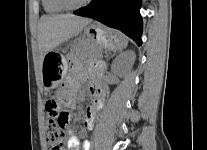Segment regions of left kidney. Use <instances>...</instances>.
Wrapping results in <instances>:
<instances>
[{
	"mask_svg": "<svg viewBox=\"0 0 207 150\" xmlns=\"http://www.w3.org/2000/svg\"><path fill=\"white\" fill-rule=\"evenodd\" d=\"M135 59V53L133 51H126L119 55L113 62L111 66V70L114 73L120 72V66L126 64V65H132Z\"/></svg>",
	"mask_w": 207,
	"mask_h": 150,
	"instance_id": "1",
	"label": "left kidney"
}]
</instances>
